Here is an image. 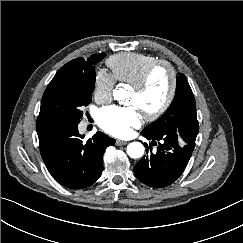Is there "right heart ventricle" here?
I'll return each instance as SVG.
<instances>
[{
    "label": "right heart ventricle",
    "instance_id": "right-heart-ventricle-1",
    "mask_svg": "<svg viewBox=\"0 0 243 243\" xmlns=\"http://www.w3.org/2000/svg\"><path fill=\"white\" fill-rule=\"evenodd\" d=\"M155 60L157 58L151 55L123 52L111 56L107 60V66L110 68L114 80L131 83L147 65Z\"/></svg>",
    "mask_w": 243,
    "mask_h": 243
}]
</instances>
